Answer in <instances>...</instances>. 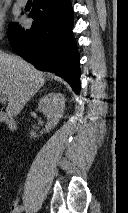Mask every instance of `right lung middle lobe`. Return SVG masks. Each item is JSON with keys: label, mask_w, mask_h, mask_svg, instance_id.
<instances>
[{"label": "right lung middle lobe", "mask_w": 128, "mask_h": 213, "mask_svg": "<svg viewBox=\"0 0 128 213\" xmlns=\"http://www.w3.org/2000/svg\"><path fill=\"white\" fill-rule=\"evenodd\" d=\"M16 25H17L16 23H12V24H11V26H13V27H12L11 30L8 32L9 34L11 33V31L13 30V28H14Z\"/></svg>", "instance_id": "1"}]
</instances>
